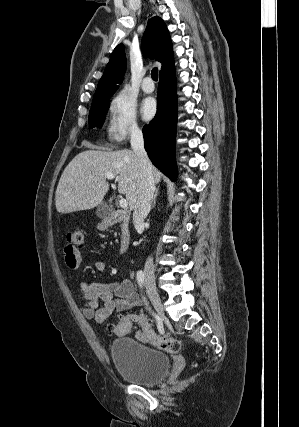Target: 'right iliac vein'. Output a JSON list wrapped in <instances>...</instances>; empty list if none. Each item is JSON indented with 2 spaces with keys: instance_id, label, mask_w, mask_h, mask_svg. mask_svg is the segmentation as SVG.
<instances>
[{
  "instance_id": "right-iliac-vein-1",
  "label": "right iliac vein",
  "mask_w": 299,
  "mask_h": 427,
  "mask_svg": "<svg viewBox=\"0 0 299 427\" xmlns=\"http://www.w3.org/2000/svg\"><path fill=\"white\" fill-rule=\"evenodd\" d=\"M145 285H146L148 296H149L153 306L155 307L158 314L161 317H163L164 316L163 306H162V302H161L160 296L158 294V291L156 289L155 280L151 277H147L145 280Z\"/></svg>"
}]
</instances>
